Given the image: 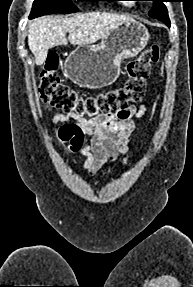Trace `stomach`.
<instances>
[{
	"instance_id": "stomach-1",
	"label": "stomach",
	"mask_w": 193,
	"mask_h": 287,
	"mask_svg": "<svg viewBox=\"0 0 193 287\" xmlns=\"http://www.w3.org/2000/svg\"><path fill=\"white\" fill-rule=\"evenodd\" d=\"M149 37L145 25L137 21L123 23L104 37L98 47L83 45L72 51L64 64L65 75L80 87L109 86L118 78L121 62L137 56Z\"/></svg>"
}]
</instances>
